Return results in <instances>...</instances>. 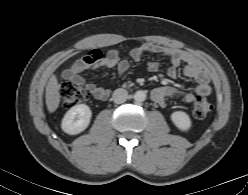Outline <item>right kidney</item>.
Listing matches in <instances>:
<instances>
[{"label": "right kidney", "instance_id": "obj_1", "mask_svg": "<svg viewBox=\"0 0 248 195\" xmlns=\"http://www.w3.org/2000/svg\"><path fill=\"white\" fill-rule=\"evenodd\" d=\"M92 112L89 106L78 104L70 108L62 119V130L70 135H76L84 131L91 120Z\"/></svg>", "mask_w": 248, "mask_h": 195}]
</instances>
